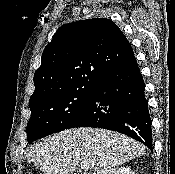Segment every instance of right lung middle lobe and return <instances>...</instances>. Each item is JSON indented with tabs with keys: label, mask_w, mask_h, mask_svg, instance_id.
I'll return each instance as SVG.
<instances>
[{
	"label": "right lung middle lobe",
	"mask_w": 175,
	"mask_h": 174,
	"mask_svg": "<svg viewBox=\"0 0 175 174\" xmlns=\"http://www.w3.org/2000/svg\"><path fill=\"white\" fill-rule=\"evenodd\" d=\"M93 87L68 90L29 105L28 143L65 130L83 111Z\"/></svg>",
	"instance_id": "dd1d6c3e"
}]
</instances>
